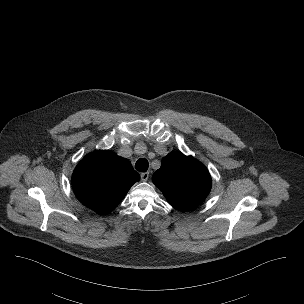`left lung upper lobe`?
Wrapping results in <instances>:
<instances>
[{"label":"left lung upper lobe","mask_w":304,"mask_h":304,"mask_svg":"<svg viewBox=\"0 0 304 304\" xmlns=\"http://www.w3.org/2000/svg\"><path fill=\"white\" fill-rule=\"evenodd\" d=\"M153 183L177 210L200 205L210 192L212 180L207 168L192 156L171 152L152 176Z\"/></svg>","instance_id":"5c2ea615"}]
</instances>
